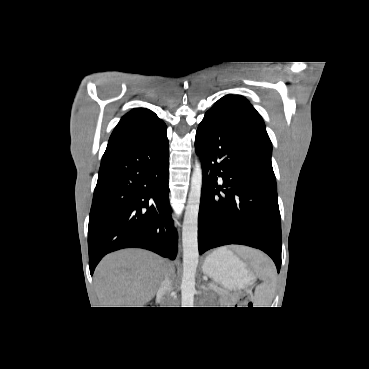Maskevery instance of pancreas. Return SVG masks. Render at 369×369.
Here are the masks:
<instances>
[{
	"label": "pancreas",
	"mask_w": 369,
	"mask_h": 369,
	"mask_svg": "<svg viewBox=\"0 0 369 369\" xmlns=\"http://www.w3.org/2000/svg\"><path fill=\"white\" fill-rule=\"evenodd\" d=\"M210 285L213 286V288H211ZM208 286H209L210 289L217 292V294L221 296V300L226 301L228 305H234L237 302L238 294H233L232 295L227 290H224V289L218 287L214 283H209Z\"/></svg>",
	"instance_id": "1"
}]
</instances>
